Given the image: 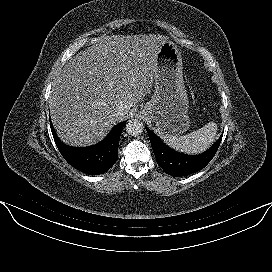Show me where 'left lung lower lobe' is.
Masks as SVG:
<instances>
[{"mask_svg": "<svg viewBox=\"0 0 272 272\" xmlns=\"http://www.w3.org/2000/svg\"><path fill=\"white\" fill-rule=\"evenodd\" d=\"M157 163L168 175L181 177L203 169L214 157L222 136L206 152L200 155H185L166 146L149 128L146 127Z\"/></svg>", "mask_w": 272, "mask_h": 272, "instance_id": "obj_1", "label": "left lung lower lobe"}]
</instances>
